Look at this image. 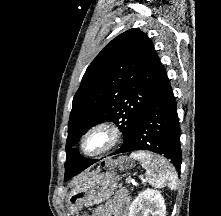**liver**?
Wrapping results in <instances>:
<instances>
[{"label":"liver","instance_id":"6515ba94","mask_svg":"<svg viewBox=\"0 0 221 216\" xmlns=\"http://www.w3.org/2000/svg\"><path fill=\"white\" fill-rule=\"evenodd\" d=\"M85 176H86V175H85ZM85 176H82L80 179H82V180H83V179L85 178Z\"/></svg>","mask_w":221,"mask_h":216}]
</instances>
